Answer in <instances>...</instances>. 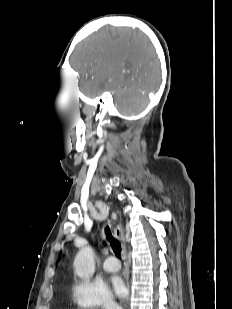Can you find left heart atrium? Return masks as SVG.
<instances>
[{"label": "left heart atrium", "instance_id": "39dd6f15", "mask_svg": "<svg viewBox=\"0 0 232 309\" xmlns=\"http://www.w3.org/2000/svg\"><path fill=\"white\" fill-rule=\"evenodd\" d=\"M112 289L114 293L120 297L124 298L127 295V287L124 280L119 276H113L111 278Z\"/></svg>", "mask_w": 232, "mask_h": 309}]
</instances>
